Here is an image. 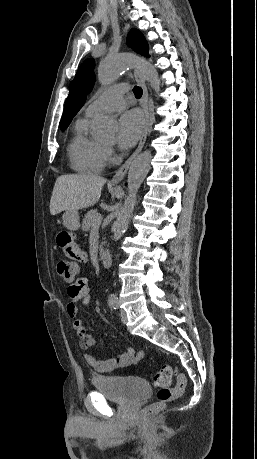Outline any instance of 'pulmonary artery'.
Instances as JSON below:
<instances>
[{
	"label": "pulmonary artery",
	"instance_id": "pulmonary-artery-1",
	"mask_svg": "<svg viewBox=\"0 0 257 459\" xmlns=\"http://www.w3.org/2000/svg\"><path fill=\"white\" fill-rule=\"evenodd\" d=\"M125 93L127 86L124 83L111 86L87 106L85 114L93 117L122 109L125 106Z\"/></svg>",
	"mask_w": 257,
	"mask_h": 459
}]
</instances>
